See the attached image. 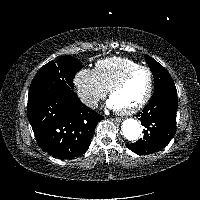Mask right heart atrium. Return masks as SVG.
Here are the masks:
<instances>
[{"label": "right heart atrium", "mask_w": 200, "mask_h": 200, "mask_svg": "<svg viewBox=\"0 0 200 200\" xmlns=\"http://www.w3.org/2000/svg\"><path fill=\"white\" fill-rule=\"evenodd\" d=\"M73 85L80 101L88 108L94 109L106 95V88L90 68L79 69L73 77Z\"/></svg>", "instance_id": "right-heart-atrium-1"}]
</instances>
